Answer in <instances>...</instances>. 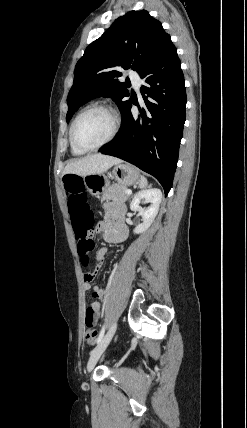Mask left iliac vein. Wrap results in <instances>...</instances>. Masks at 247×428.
I'll use <instances>...</instances> for the list:
<instances>
[{
    "label": "left iliac vein",
    "mask_w": 247,
    "mask_h": 428,
    "mask_svg": "<svg viewBox=\"0 0 247 428\" xmlns=\"http://www.w3.org/2000/svg\"><path fill=\"white\" fill-rule=\"evenodd\" d=\"M117 328V324L113 323L111 327L109 328L106 335L102 338V340L98 343V345L93 349L91 352L88 364H87V371L90 372L94 366L96 365L97 361L109 345L110 341L112 340L115 331Z\"/></svg>",
    "instance_id": "4c4485c4"
}]
</instances>
